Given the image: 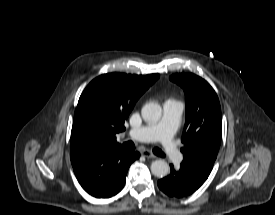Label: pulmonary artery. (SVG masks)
<instances>
[{
    "instance_id": "1",
    "label": "pulmonary artery",
    "mask_w": 275,
    "mask_h": 215,
    "mask_svg": "<svg viewBox=\"0 0 275 215\" xmlns=\"http://www.w3.org/2000/svg\"><path fill=\"white\" fill-rule=\"evenodd\" d=\"M183 110L184 106L180 101L167 100L163 104V116L159 122L131 129L128 135L141 142L160 141L167 159L172 163L177 162L182 155L173 137L179 127Z\"/></svg>"
}]
</instances>
